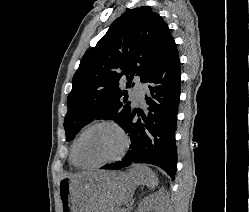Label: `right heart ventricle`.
Instances as JSON below:
<instances>
[{
    "mask_svg": "<svg viewBox=\"0 0 249 212\" xmlns=\"http://www.w3.org/2000/svg\"><path fill=\"white\" fill-rule=\"evenodd\" d=\"M69 162H70V165H71L72 167H74V168H79V167L76 165V163L74 162V160H73L72 149H71L70 155H69Z\"/></svg>",
    "mask_w": 249,
    "mask_h": 212,
    "instance_id": "1",
    "label": "right heart ventricle"
}]
</instances>
